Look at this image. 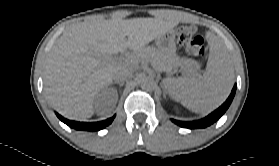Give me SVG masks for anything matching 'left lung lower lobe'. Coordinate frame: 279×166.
<instances>
[{
    "label": "left lung lower lobe",
    "instance_id": "1",
    "mask_svg": "<svg viewBox=\"0 0 279 166\" xmlns=\"http://www.w3.org/2000/svg\"><path fill=\"white\" fill-rule=\"evenodd\" d=\"M236 85L233 87L232 92L226 102L222 104L217 110L209 114L207 117L199 120V121H194V122H182V121H177V120H172L175 124L183 127V128H189V129H194V128H205L207 126H210L214 122H216L228 109L230 106L235 92H236Z\"/></svg>",
    "mask_w": 279,
    "mask_h": 166
}]
</instances>
